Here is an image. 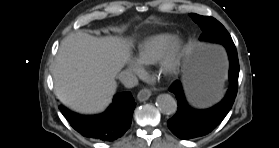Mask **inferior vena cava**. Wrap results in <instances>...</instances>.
I'll list each match as a JSON object with an SVG mask.
<instances>
[{
	"mask_svg": "<svg viewBox=\"0 0 279 148\" xmlns=\"http://www.w3.org/2000/svg\"><path fill=\"white\" fill-rule=\"evenodd\" d=\"M119 80L127 88H133L138 85L137 77L129 70L122 71L119 74Z\"/></svg>",
	"mask_w": 279,
	"mask_h": 148,
	"instance_id": "1",
	"label": "inferior vena cava"
}]
</instances>
